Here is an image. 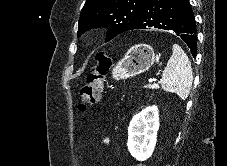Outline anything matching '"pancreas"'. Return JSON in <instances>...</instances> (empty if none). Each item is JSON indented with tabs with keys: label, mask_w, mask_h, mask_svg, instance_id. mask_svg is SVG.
I'll list each match as a JSON object with an SVG mask.
<instances>
[{
	"label": "pancreas",
	"mask_w": 227,
	"mask_h": 166,
	"mask_svg": "<svg viewBox=\"0 0 227 166\" xmlns=\"http://www.w3.org/2000/svg\"><path fill=\"white\" fill-rule=\"evenodd\" d=\"M145 88H149V89H157L158 86H154V85H147L145 86Z\"/></svg>",
	"instance_id": "obj_1"
}]
</instances>
